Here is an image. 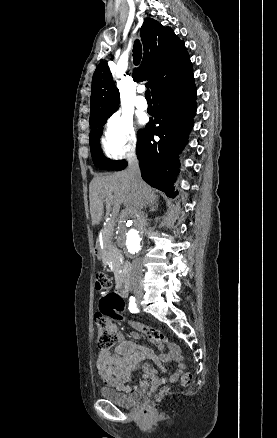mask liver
<instances>
[{
	"instance_id": "liver-1",
	"label": "liver",
	"mask_w": 277,
	"mask_h": 438,
	"mask_svg": "<svg viewBox=\"0 0 277 438\" xmlns=\"http://www.w3.org/2000/svg\"><path fill=\"white\" fill-rule=\"evenodd\" d=\"M89 190L92 226L100 224L104 214V204L107 210L110 206H115L118 210L120 204H123L121 218L128 216L139 218L143 206L155 204L158 198L153 188L147 186L143 180L139 190H132L128 172L93 178Z\"/></svg>"
}]
</instances>
